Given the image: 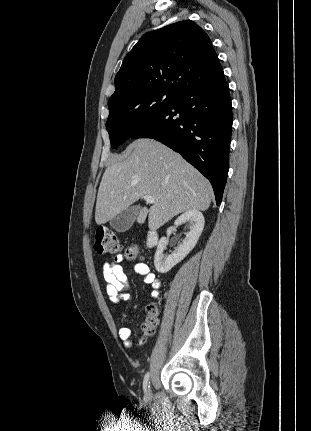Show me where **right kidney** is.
Here are the masks:
<instances>
[{
  "label": "right kidney",
  "instance_id": "1",
  "mask_svg": "<svg viewBox=\"0 0 311 431\" xmlns=\"http://www.w3.org/2000/svg\"><path fill=\"white\" fill-rule=\"evenodd\" d=\"M185 221H188L190 231L186 233V237H184L182 243H180L178 247H175L173 253H170V255L163 253L164 249H166L168 239L167 237H161V239H159L158 247L154 255V265L160 273H167L171 267H174L176 263L184 259L187 253L195 247L199 235L202 233L205 219L199 210H188V212H185V214L175 219L174 225H180V223H185ZM172 229L173 227H168L167 233H172Z\"/></svg>",
  "mask_w": 311,
  "mask_h": 431
}]
</instances>
